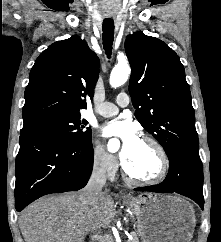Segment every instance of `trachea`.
Masks as SVG:
<instances>
[{"label":"trachea","mask_w":221,"mask_h":242,"mask_svg":"<svg viewBox=\"0 0 221 242\" xmlns=\"http://www.w3.org/2000/svg\"><path fill=\"white\" fill-rule=\"evenodd\" d=\"M103 48L108 58L112 53V45L114 40V22L112 19L103 20Z\"/></svg>","instance_id":"obj_1"}]
</instances>
